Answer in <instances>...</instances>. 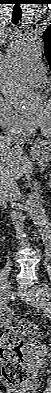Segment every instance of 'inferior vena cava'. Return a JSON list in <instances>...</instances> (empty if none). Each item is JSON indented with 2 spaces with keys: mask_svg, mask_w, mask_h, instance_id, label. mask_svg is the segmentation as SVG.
<instances>
[{
  "mask_svg": "<svg viewBox=\"0 0 51 393\" xmlns=\"http://www.w3.org/2000/svg\"><path fill=\"white\" fill-rule=\"evenodd\" d=\"M6 143L16 152H23V141L19 138L15 131L9 130L4 134ZM0 197L8 201L12 206L11 218L16 229V233L20 235L23 232L25 217L20 212L21 206L18 203L21 200V194L16 179L7 176L0 178Z\"/></svg>",
  "mask_w": 51,
  "mask_h": 393,
  "instance_id": "602c4592",
  "label": "inferior vena cava"
}]
</instances>
